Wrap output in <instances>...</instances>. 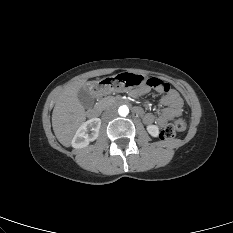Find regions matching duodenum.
<instances>
[{"mask_svg": "<svg viewBox=\"0 0 233 233\" xmlns=\"http://www.w3.org/2000/svg\"><path fill=\"white\" fill-rule=\"evenodd\" d=\"M116 102L119 105L128 104V101L125 100V99H122V98L117 99ZM134 111H135V113L139 114L140 109L139 108H134ZM99 114H100V110H99L98 107H93V108L88 110V117L89 118H92V119L98 118Z\"/></svg>", "mask_w": 233, "mask_h": 233, "instance_id": "duodenum-1", "label": "duodenum"}]
</instances>
